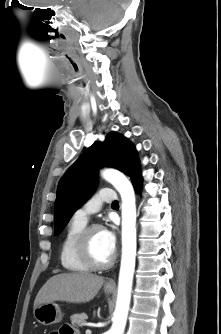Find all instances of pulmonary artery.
I'll return each instance as SVG.
<instances>
[{
  "instance_id": "1",
  "label": "pulmonary artery",
  "mask_w": 221,
  "mask_h": 334,
  "mask_svg": "<svg viewBox=\"0 0 221 334\" xmlns=\"http://www.w3.org/2000/svg\"><path fill=\"white\" fill-rule=\"evenodd\" d=\"M116 199L114 190L110 188L101 189L97 194L92 196L87 202L76 210L74 217L87 222L89 216L100 210L101 206L105 202H112Z\"/></svg>"
}]
</instances>
